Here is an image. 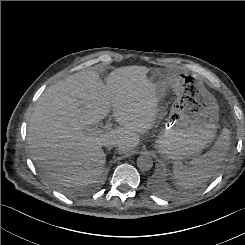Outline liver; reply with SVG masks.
Listing matches in <instances>:
<instances>
[{
  "label": "liver",
  "instance_id": "1",
  "mask_svg": "<svg viewBox=\"0 0 245 245\" xmlns=\"http://www.w3.org/2000/svg\"><path fill=\"white\" fill-rule=\"evenodd\" d=\"M150 70L139 65L119 67L110 72L106 87L97 71L84 70L47 88L28 124L31 159L65 186L94 182L104 172L105 141H115L118 152L126 153L139 144V134L154 126L160 84L147 76ZM111 107L120 127L90 131Z\"/></svg>",
  "mask_w": 245,
  "mask_h": 245
}]
</instances>
